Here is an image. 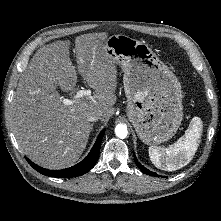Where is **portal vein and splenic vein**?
I'll list each match as a JSON object with an SVG mask.
<instances>
[{"label":"portal vein and splenic vein","mask_w":221,"mask_h":221,"mask_svg":"<svg viewBox=\"0 0 221 221\" xmlns=\"http://www.w3.org/2000/svg\"><path fill=\"white\" fill-rule=\"evenodd\" d=\"M90 95H91V90H89V89L79 90L76 92V98H81L83 96H90ZM61 101L65 105H72L73 104V101L70 99H62Z\"/></svg>","instance_id":"portal-vein-and-splenic-vein-1"}]
</instances>
